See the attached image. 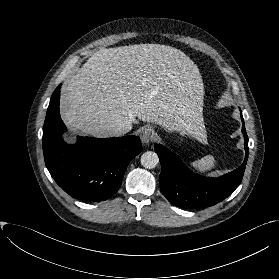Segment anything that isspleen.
Masks as SVG:
<instances>
[{"label": "spleen", "mask_w": 279, "mask_h": 279, "mask_svg": "<svg viewBox=\"0 0 279 279\" xmlns=\"http://www.w3.org/2000/svg\"><path fill=\"white\" fill-rule=\"evenodd\" d=\"M217 161L212 155L204 156L203 158L190 163V167L198 173H205L214 168Z\"/></svg>", "instance_id": "1"}]
</instances>
